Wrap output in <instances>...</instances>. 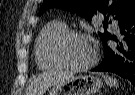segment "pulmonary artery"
<instances>
[{"mask_svg": "<svg viewBox=\"0 0 135 95\" xmlns=\"http://www.w3.org/2000/svg\"><path fill=\"white\" fill-rule=\"evenodd\" d=\"M113 27L116 31H118V26L116 24H114Z\"/></svg>", "mask_w": 135, "mask_h": 95, "instance_id": "1", "label": "pulmonary artery"}]
</instances>
